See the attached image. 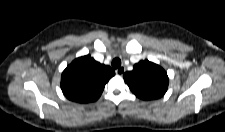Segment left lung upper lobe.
Listing matches in <instances>:
<instances>
[{
    "label": "left lung upper lobe",
    "instance_id": "5c2ea615",
    "mask_svg": "<svg viewBox=\"0 0 225 132\" xmlns=\"http://www.w3.org/2000/svg\"><path fill=\"white\" fill-rule=\"evenodd\" d=\"M124 80L131 91L144 100L158 99L167 91L169 79L165 70L148 60L135 64Z\"/></svg>",
    "mask_w": 225,
    "mask_h": 132
}]
</instances>
